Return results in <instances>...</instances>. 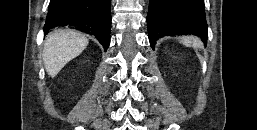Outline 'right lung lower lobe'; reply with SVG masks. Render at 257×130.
Returning a JSON list of instances; mask_svg holds the SVG:
<instances>
[{
	"label": "right lung lower lobe",
	"mask_w": 257,
	"mask_h": 130,
	"mask_svg": "<svg viewBox=\"0 0 257 130\" xmlns=\"http://www.w3.org/2000/svg\"><path fill=\"white\" fill-rule=\"evenodd\" d=\"M60 26H74L94 35L107 50L110 44V0H51L44 32Z\"/></svg>",
	"instance_id": "1"
}]
</instances>
